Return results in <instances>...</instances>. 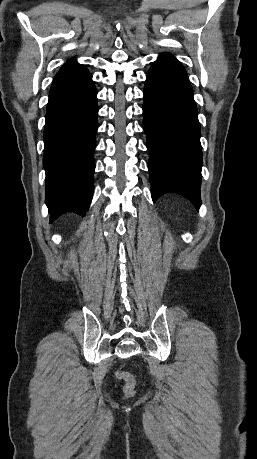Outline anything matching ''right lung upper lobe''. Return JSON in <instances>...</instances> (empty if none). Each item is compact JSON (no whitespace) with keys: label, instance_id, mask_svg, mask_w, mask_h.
I'll return each mask as SVG.
<instances>
[{"label":"right lung upper lobe","instance_id":"right-lung-upper-lobe-1","mask_svg":"<svg viewBox=\"0 0 257 459\" xmlns=\"http://www.w3.org/2000/svg\"><path fill=\"white\" fill-rule=\"evenodd\" d=\"M87 73L88 70L84 65L77 63L75 60H71L61 68L58 74H56L53 82L63 79L78 78Z\"/></svg>","mask_w":257,"mask_h":459}]
</instances>
